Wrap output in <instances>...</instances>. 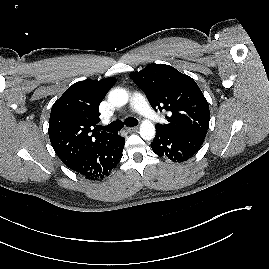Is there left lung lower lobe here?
I'll return each instance as SVG.
<instances>
[{"label": "left lung lower lobe", "mask_w": 269, "mask_h": 269, "mask_svg": "<svg viewBox=\"0 0 269 269\" xmlns=\"http://www.w3.org/2000/svg\"><path fill=\"white\" fill-rule=\"evenodd\" d=\"M205 137L206 135L203 134H169L156 129L151 148L161 157L182 162L198 152Z\"/></svg>", "instance_id": "0a47b994"}]
</instances>
